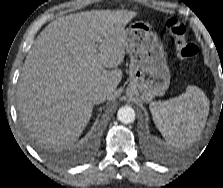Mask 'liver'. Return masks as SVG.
Returning <instances> with one entry per match:
<instances>
[{
	"label": "liver",
	"instance_id": "6515ba94",
	"mask_svg": "<svg viewBox=\"0 0 223 188\" xmlns=\"http://www.w3.org/2000/svg\"><path fill=\"white\" fill-rule=\"evenodd\" d=\"M136 15L85 11L59 17L41 31L17 87L19 115L31 137L57 148L76 142L92 116L91 92L105 90L110 100L122 79L125 26Z\"/></svg>",
	"mask_w": 223,
	"mask_h": 188
}]
</instances>
